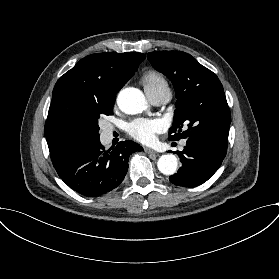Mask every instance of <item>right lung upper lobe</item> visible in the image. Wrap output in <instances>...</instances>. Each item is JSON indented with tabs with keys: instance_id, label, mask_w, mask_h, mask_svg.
<instances>
[{
	"instance_id": "cb5924a9",
	"label": "right lung upper lobe",
	"mask_w": 279,
	"mask_h": 279,
	"mask_svg": "<svg viewBox=\"0 0 279 279\" xmlns=\"http://www.w3.org/2000/svg\"><path fill=\"white\" fill-rule=\"evenodd\" d=\"M145 59L142 53H97L61 76L52 94L45 135L54 167L90 145L76 135L72 121L85 99L116 97Z\"/></svg>"
}]
</instances>
